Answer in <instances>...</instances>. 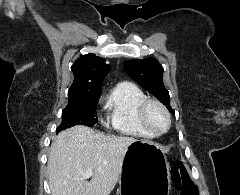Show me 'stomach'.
I'll use <instances>...</instances> for the list:
<instances>
[{
  "mask_svg": "<svg viewBox=\"0 0 240 195\" xmlns=\"http://www.w3.org/2000/svg\"><path fill=\"white\" fill-rule=\"evenodd\" d=\"M170 165L156 141L137 139L125 153L119 195H169Z\"/></svg>",
  "mask_w": 240,
  "mask_h": 195,
  "instance_id": "0dacf381",
  "label": "stomach"
}]
</instances>
